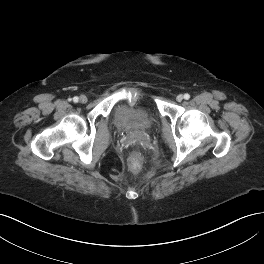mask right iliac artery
Here are the masks:
<instances>
[{
	"label": "right iliac artery",
	"mask_w": 264,
	"mask_h": 264,
	"mask_svg": "<svg viewBox=\"0 0 264 264\" xmlns=\"http://www.w3.org/2000/svg\"><path fill=\"white\" fill-rule=\"evenodd\" d=\"M73 101L76 103V102H78V97H74L73 98Z\"/></svg>",
	"instance_id": "obj_1"
}]
</instances>
